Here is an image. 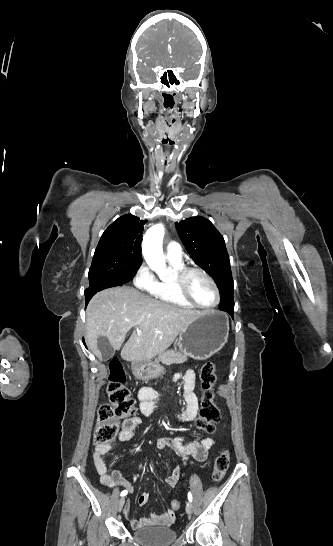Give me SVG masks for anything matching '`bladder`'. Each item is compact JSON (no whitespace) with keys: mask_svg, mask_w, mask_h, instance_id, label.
<instances>
[{"mask_svg":"<svg viewBox=\"0 0 333 546\" xmlns=\"http://www.w3.org/2000/svg\"><path fill=\"white\" fill-rule=\"evenodd\" d=\"M135 540L143 546H169L176 538V531L168 526H147L133 532Z\"/></svg>","mask_w":333,"mask_h":546,"instance_id":"31cf9c89","label":"bladder"}]
</instances>
